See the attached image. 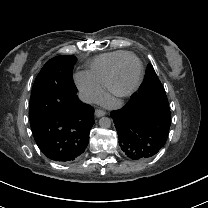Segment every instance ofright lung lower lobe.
Listing matches in <instances>:
<instances>
[{
	"instance_id": "98d812e1",
	"label": "right lung lower lobe",
	"mask_w": 208,
	"mask_h": 208,
	"mask_svg": "<svg viewBox=\"0 0 208 208\" xmlns=\"http://www.w3.org/2000/svg\"><path fill=\"white\" fill-rule=\"evenodd\" d=\"M94 121V109L81 102L77 95L64 108L30 121L39 149L56 162H72L86 149Z\"/></svg>"
}]
</instances>
